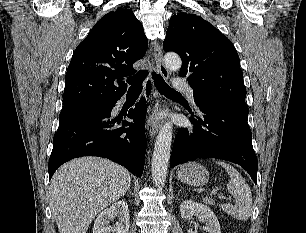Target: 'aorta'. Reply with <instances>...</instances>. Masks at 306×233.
I'll return each instance as SVG.
<instances>
[{
  "mask_svg": "<svg viewBox=\"0 0 306 233\" xmlns=\"http://www.w3.org/2000/svg\"><path fill=\"white\" fill-rule=\"evenodd\" d=\"M166 67L171 71L181 68L182 61L176 53H167L164 57ZM172 124L166 122L156 138L151 162L152 178L156 186L161 187L165 180L171 152Z\"/></svg>",
  "mask_w": 306,
  "mask_h": 233,
  "instance_id": "1",
  "label": "aorta"
}]
</instances>
